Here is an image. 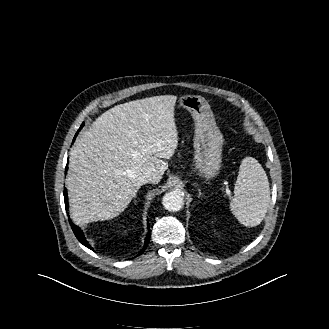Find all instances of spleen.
<instances>
[{
	"mask_svg": "<svg viewBox=\"0 0 329 329\" xmlns=\"http://www.w3.org/2000/svg\"><path fill=\"white\" fill-rule=\"evenodd\" d=\"M270 202L266 172L255 158L245 157L239 167L234 198L230 202L232 214L244 226L254 227L262 222Z\"/></svg>",
	"mask_w": 329,
	"mask_h": 329,
	"instance_id": "1",
	"label": "spleen"
}]
</instances>
